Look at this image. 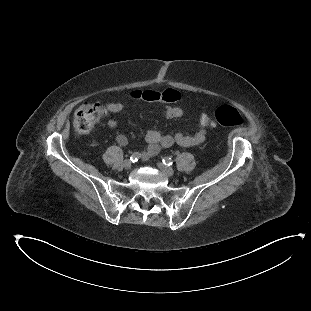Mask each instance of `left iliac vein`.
<instances>
[{"label":"left iliac vein","mask_w":311,"mask_h":311,"mask_svg":"<svg viewBox=\"0 0 311 311\" xmlns=\"http://www.w3.org/2000/svg\"><path fill=\"white\" fill-rule=\"evenodd\" d=\"M157 166L165 175L173 176L174 170L171 167H169L163 163H157Z\"/></svg>","instance_id":"1"}]
</instances>
